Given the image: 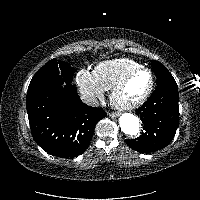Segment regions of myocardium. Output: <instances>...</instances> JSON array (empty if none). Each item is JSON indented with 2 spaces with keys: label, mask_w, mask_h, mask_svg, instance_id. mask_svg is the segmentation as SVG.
<instances>
[{
  "label": "myocardium",
  "mask_w": 200,
  "mask_h": 200,
  "mask_svg": "<svg viewBox=\"0 0 200 200\" xmlns=\"http://www.w3.org/2000/svg\"><path fill=\"white\" fill-rule=\"evenodd\" d=\"M146 71L150 75V83L148 86V89L144 93L142 97H140L138 100L133 102H122L118 99V94L122 90V88L126 85V83L138 72ZM155 84V78L152 70L145 66L137 67L131 71H129L124 77H122L112 88L110 92V101L112 105L120 110H133L135 108H138L142 106L151 96L153 92Z\"/></svg>",
  "instance_id": "myocardium-1"
}]
</instances>
